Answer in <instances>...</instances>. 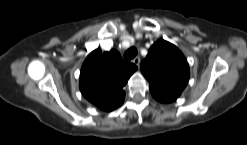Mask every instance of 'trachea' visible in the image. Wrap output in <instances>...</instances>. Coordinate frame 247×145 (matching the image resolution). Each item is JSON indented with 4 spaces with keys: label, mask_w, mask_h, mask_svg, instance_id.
<instances>
[{
    "label": "trachea",
    "mask_w": 247,
    "mask_h": 145,
    "mask_svg": "<svg viewBox=\"0 0 247 145\" xmlns=\"http://www.w3.org/2000/svg\"><path fill=\"white\" fill-rule=\"evenodd\" d=\"M137 55V49L136 47H131L129 48L125 53H124V59L126 61H129L131 59H133L135 56Z\"/></svg>",
    "instance_id": "trachea-1"
}]
</instances>
